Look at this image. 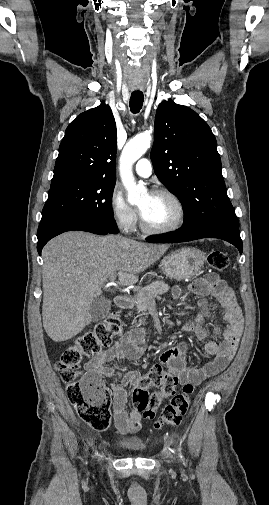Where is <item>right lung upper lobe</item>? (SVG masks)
Here are the masks:
<instances>
[{
	"mask_svg": "<svg viewBox=\"0 0 269 505\" xmlns=\"http://www.w3.org/2000/svg\"><path fill=\"white\" fill-rule=\"evenodd\" d=\"M116 123L109 105L78 115L59 146L51 187L75 182L115 181Z\"/></svg>",
	"mask_w": 269,
	"mask_h": 505,
	"instance_id": "obj_1",
	"label": "right lung upper lobe"
}]
</instances>
